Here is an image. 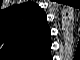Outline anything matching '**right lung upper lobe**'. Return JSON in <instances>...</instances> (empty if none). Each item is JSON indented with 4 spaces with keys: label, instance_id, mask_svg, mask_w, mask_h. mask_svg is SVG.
<instances>
[{
    "label": "right lung upper lobe",
    "instance_id": "cb5924a9",
    "mask_svg": "<svg viewBox=\"0 0 80 60\" xmlns=\"http://www.w3.org/2000/svg\"><path fill=\"white\" fill-rule=\"evenodd\" d=\"M0 41L19 56L44 51L50 43L46 14L35 3L12 6L2 12Z\"/></svg>",
    "mask_w": 80,
    "mask_h": 60
}]
</instances>
